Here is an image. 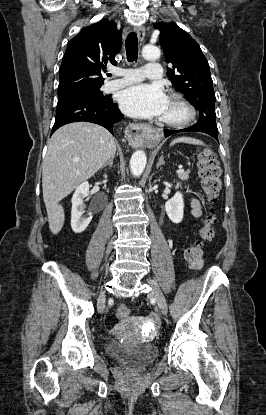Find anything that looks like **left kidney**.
Segmentation results:
<instances>
[{"instance_id":"left-kidney-1","label":"left kidney","mask_w":266,"mask_h":415,"mask_svg":"<svg viewBox=\"0 0 266 415\" xmlns=\"http://www.w3.org/2000/svg\"><path fill=\"white\" fill-rule=\"evenodd\" d=\"M165 210L173 223H180L184 216L183 195L180 192H176L175 195L165 203Z\"/></svg>"}]
</instances>
